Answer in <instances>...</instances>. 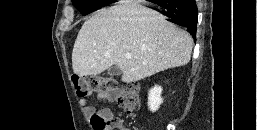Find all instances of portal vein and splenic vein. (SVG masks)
Instances as JSON below:
<instances>
[{
  "instance_id": "1",
  "label": "portal vein and splenic vein",
  "mask_w": 257,
  "mask_h": 130,
  "mask_svg": "<svg viewBox=\"0 0 257 130\" xmlns=\"http://www.w3.org/2000/svg\"><path fill=\"white\" fill-rule=\"evenodd\" d=\"M125 56H126V58H128V59H130V58H131V54H129V53H128V54H126Z\"/></svg>"
}]
</instances>
